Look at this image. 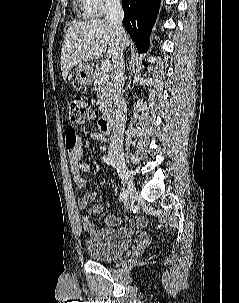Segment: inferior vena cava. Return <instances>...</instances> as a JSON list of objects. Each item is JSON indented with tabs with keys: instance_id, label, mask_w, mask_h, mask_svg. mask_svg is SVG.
I'll list each match as a JSON object with an SVG mask.
<instances>
[{
	"instance_id": "1",
	"label": "inferior vena cava",
	"mask_w": 239,
	"mask_h": 303,
	"mask_svg": "<svg viewBox=\"0 0 239 303\" xmlns=\"http://www.w3.org/2000/svg\"><path fill=\"white\" fill-rule=\"evenodd\" d=\"M124 12L120 0H109L107 5L106 21L114 26L116 31L117 47L114 55L113 65V85H112V99H113V121L112 133L110 137V149L121 151L123 148V134L126 123V103L123 97L124 85V59L123 49L126 37L125 30L122 26Z\"/></svg>"
}]
</instances>
